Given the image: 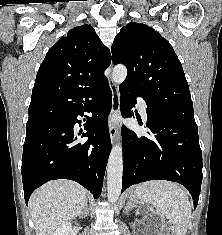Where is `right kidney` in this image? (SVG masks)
Masks as SVG:
<instances>
[{"instance_id": "ca27d5eb", "label": "right kidney", "mask_w": 222, "mask_h": 235, "mask_svg": "<svg viewBox=\"0 0 222 235\" xmlns=\"http://www.w3.org/2000/svg\"><path fill=\"white\" fill-rule=\"evenodd\" d=\"M72 230V224L70 222H66L60 226L51 234V235H70Z\"/></svg>"}]
</instances>
